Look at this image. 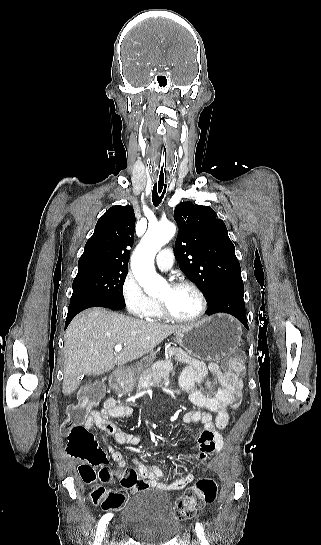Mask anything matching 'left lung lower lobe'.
<instances>
[{"label": "left lung lower lobe", "mask_w": 321, "mask_h": 545, "mask_svg": "<svg viewBox=\"0 0 321 545\" xmlns=\"http://www.w3.org/2000/svg\"><path fill=\"white\" fill-rule=\"evenodd\" d=\"M243 295L242 279L221 285L215 290L212 297L207 299L210 309L206 314L211 315L218 312L231 314L248 329Z\"/></svg>", "instance_id": "1"}]
</instances>
